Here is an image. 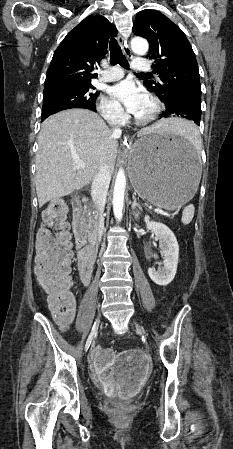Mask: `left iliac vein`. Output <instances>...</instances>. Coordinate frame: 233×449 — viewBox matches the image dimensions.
Instances as JSON below:
<instances>
[{"instance_id":"left-iliac-vein-1","label":"left iliac vein","mask_w":233,"mask_h":449,"mask_svg":"<svg viewBox=\"0 0 233 449\" xmlns=\"http://www.w3.org/2000/svg\"><path fill=\"white\" fill-rule=\"evenodd\" d=\"M134 325H135L136 329L141 332V334H143L144 336L147 337V333H146L145 329L141 325H139L136 322L134 323Z\"/></svg>"}]
</instances>
